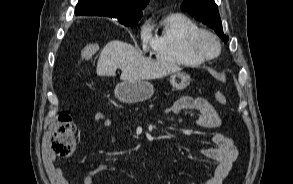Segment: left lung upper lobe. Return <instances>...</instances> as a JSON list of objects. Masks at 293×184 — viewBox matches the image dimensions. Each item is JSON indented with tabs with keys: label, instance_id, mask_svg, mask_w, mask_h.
Here are the masks:
<instances>
[{
	"label": "left lung upper lobe",
	"instance_id": "obj_1",
	"mask_svg": "<svg viewBox=\"0 0 293 184\" xmlns=\"http://www.w3.org/2000/svg\"><path fill=\"white\" fill-rule=\"evenodd\" d=\"M181 9L211 27L223 41L229 40L223 33L218 7L214 0H184Z\"/></svg>",
	"mask_w": 293,
	"mask_h": 184
}]
</instances>
